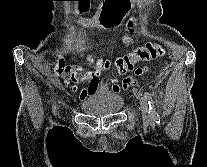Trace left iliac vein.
Returning <instances> with one entry per match:
<instances>
[{"label":"left iliac vein","mask_w":207,"mask_h":167,"mask_svg":"<svg viewBox=\"0 0 207 167\" xmlns=\"http://www.w3.org/2000/svg\"><path fill=\"white\" fill-rule=\"evenodd\" d=\"M140 105H141V111H142V115H143L144 120L146 122L150 123L152 121V118L149 115V108H148V103H147L146 99L141 98Z\"/></svg>","instance_id":"obj_1"}]
</instances>
